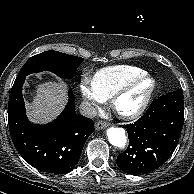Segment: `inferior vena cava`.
I'll list each match as a JSON object with an SVG mask.
<instances>
[{"mask_svg": "<svg viewBox=\"0 0 194 194\" xmlns=\"http://www.w3.org/2000/svg\"><path fill=\"white\" fill-rule=\"evenodd\" d=\"M80 113L83 116L89 117V118H94L97 115V110L94 107L93 103L89 102V101H83L80 104Z\"/></svg>", "mask_w": 194, "mask_h": 194, "instance_id": "1", "label": "inferior vena cava"}]
</instances>
